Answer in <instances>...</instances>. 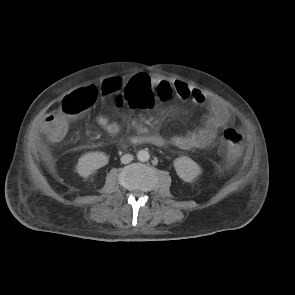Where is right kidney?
Listing matches in <instances>:
<instances>
[{"label":"right kidney","instance_id":"right-kidney-1","mask_svg":"<svg viewBox=\"0 0 295 295\" xmlns=\"http://www.w3.org/2000/svg\"><path fill=\"white\" fill-rule=\"evenodd\" d=\"M108 161V157L103 152H89L79 158L76 171L80 176L88 177L97 169L107 165Z\"/></svg>","mask_w":295,"mask_h":295}]
</instances>
